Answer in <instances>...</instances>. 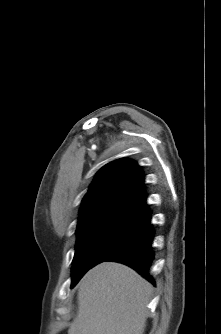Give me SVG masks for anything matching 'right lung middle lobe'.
<instances>
[{"label": "right lung middle lobe", "mask_w": 221, "mask_h": 334, "mask_svg": "<svg viewBox=\"0 0 221 334\" xmlns=\"http://www.w3.org/2000/svg\"><path fill=\"white\" fill-rule=\"evenodd\" d=\"M145 221V217L133 215H99L80 223L76 230L71 288L87 270L106 261L132 238Z\"/></svg>", "instance_id": "obj_1"}]
</instances>
